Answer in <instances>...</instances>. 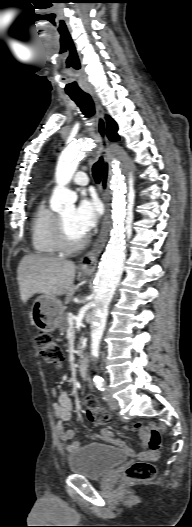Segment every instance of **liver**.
Returning <instances> with one entry per match:
<instances>
[{
	"mask_svg": "<svg viewBox=\"0 0 192 527\" xmlns=\"http://www.w3.org/2000/svg\"><path fill=\"white\" fill-rule=\"evenodd\" d=\"M75 269L74 262L70 260L25 255L17 270L21 300L26 303L36 293L48 297L65 295V303L68 304L76 289Z\"/></svg>",
	"mask_w": 192,
	"mask_h": 527,
	"instance_id": "obj_1",
	"label": "liver"
}]
</instances>
